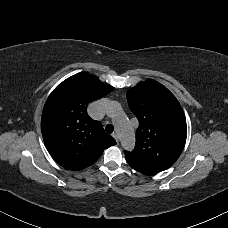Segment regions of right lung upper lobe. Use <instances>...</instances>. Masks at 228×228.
Wrapping results in <instances>:
<instances>
[{
    "mask_svg": "<svg viewBox=\"0 0 228 228\" xmlns=\"http://www.w3.org/2000/svg\"><path fill=\"white\" fill-rule=\"evenodd\" d=\"M114 87L87 72L60 83L48 97L41 118L45 146L61 166L81 170L92 165L103 150L116 144L102 125L91 119L87 105Z\"/></svg>",
    "mask_w": 228,
    "mask_h": 228,
    "instance_id": "obj_1",
    "label": "right lung upper lobe"
}]
</instances>
